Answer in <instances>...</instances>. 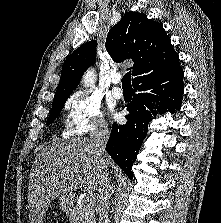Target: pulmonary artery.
Segmentation results:
<instances>
[{"instance_id":"pulmonary-artery-1","label":"pulmonary artery","mask_w":221,"mask_h":223,"mask_svg":"<svg viewBox=\"0 0 221 223\" xmlns=\"http://www.w3.org/2000/svg\"><path fill=\"white\" fill-rule=\"evenodd\" d=\"M121 79L122 78H121L120 75H116V76L113 77L112 81H113L114 84H119L121 82ZM112 94L116 98H121L123 96V90L118 86H114L112 88Z\"/></svg>"}]
</instances>
